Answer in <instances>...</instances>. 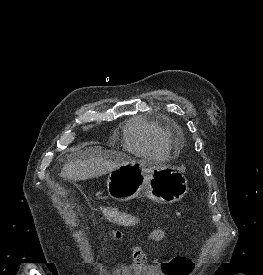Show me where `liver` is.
Returning a JSON list of instances; mask_svg holds the SVG:
<instances>
[{"label":"liver","mask_w":263,"mask_h":275,"mask_svg":"<svg viewBox=\"0 0 263 275\" xmlns=\"http://www.w3.org/2000/svg\"><path fill=\"white\" fill-rule=\"evenodd\" d=\"M131 159L121 152H100L91 155V150L66 163L60 173L62 178L72 181L87 180L111 172L125 161Z\"/></svg>","instance_id":"6515ba94"}]
</instances>
